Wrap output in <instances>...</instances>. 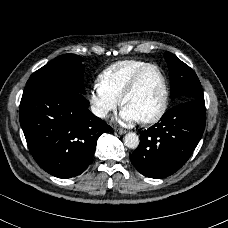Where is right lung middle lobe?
<instances>
[{
	"mask_svg": "<svg viewBox=\"0 0 228 228\" xmlns=\"http://www.w3.org/2000/svg\"><path fill=\"white\" fill-rule=\"evenodd\" d=\"M83 59L74 54H63L34 72L26 86L45 82H56L72 87L78 93L85 94L83 86Z\"/></svg>",
	"mask_w": 228,
	"mask_h": 228,
	"instance_id": "dd1d6c3e",
	"label": "right lung middle lobe"
}]
</instances>
